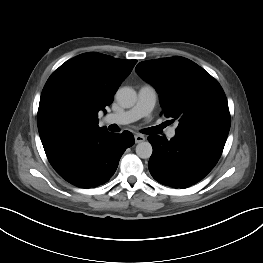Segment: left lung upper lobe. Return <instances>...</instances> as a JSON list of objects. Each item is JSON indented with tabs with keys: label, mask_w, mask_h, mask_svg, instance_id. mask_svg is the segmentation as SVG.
I'll use <instances>...</instances> for the list:
<instances>
[{
	"label": "left lung upper lobe",
	"mask_w": 263,
	"mask_h": 263,
	"mask_svg": "<svg viewBox=\"0 0 263 263\" xmlns=\"http://www.w3.org/2000/svg\"><path fill=\"white\" fill-rule=\"evenodd\" d=\"M135 71L156 88L164 115L179 121L175 131L228 136L230 113L225 93L199 65L171 57L140 62Z\"/></svg>",
	"instance_id": "1"
}]
</instances>
